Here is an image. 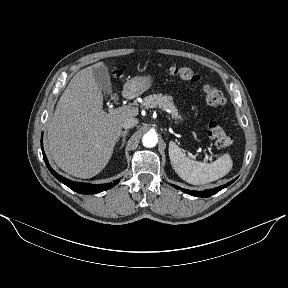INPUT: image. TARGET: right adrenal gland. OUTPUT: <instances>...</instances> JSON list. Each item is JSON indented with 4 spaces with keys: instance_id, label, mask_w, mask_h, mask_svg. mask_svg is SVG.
<instances>
[{
    "instance_id": "obj_1",
    "label": "right adrenal gland",
    "mask_w": 288,
    "mask_h": 288,
    "mask_svg": "<svg viewBox=\"0 0 288 288\" xmlns=\"http://www.w3.org/2000/svg\"><path fill=\"white\" fill-rule=\"evenodd\" d=\"M128 132H129L128 130H125V131L121 132L119 138L117 139V142H119L120 138H122L121 146H120L119 149L123 148V146L125 144L126 135L128 134Z\"/></svg>"
}]
</instances>
